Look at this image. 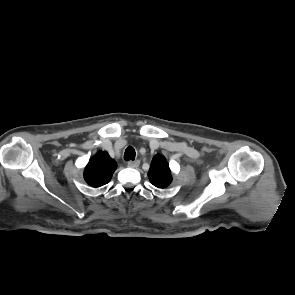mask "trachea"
Returning <instances> with one entry per match:
<instances>
[{"label":"trachea","instance_id":"trachea-1","mask_svg":"<svg viewBox=\"0 0 295 295\" xmlns=\"http://www.w3.org/2000/svg\"><path fill=\"white\" fill-rule=\"evenodd\" d=\"M135 156H136L135 149L132 146L127 147L124 153V159L126 161L134 160Z\"/></svg>","mask_w":295,"mask_h":295}]
</instances>
